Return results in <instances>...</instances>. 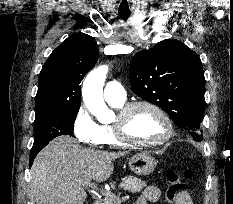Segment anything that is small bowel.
I'll return each instance as SVG.
<instances>
[{
  "label": "small bowel",
  "instance_id": "small-bowel-1",
  "mask_svg": "<svg viewBox=\"0 0 233 204\" xmlns=\"http://www.w3.org/2000/svg\"><path fill=\"white\" fill-rule=\"evenodd\" d=\"M160 190L155 186L147 187L138 197L136 204L156 203L160 201ZM175 204H193L190 195L185 192L180 195L175 201Z\"/></svg>",
  "mask_w": 233,
  "mask_h": 204
}]
</instances>
